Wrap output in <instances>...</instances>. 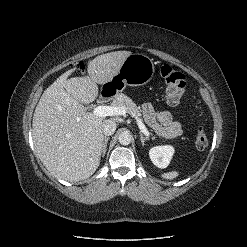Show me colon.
Returning a JSON list of instances; mask_svg holds the SVG:
<instances>
[{
  "instance_id": "1",
  "label": "colon",
  "mask_w": 247,
  "mask_h": 247,
  "mask_svg": "<svg viewBox=\"0 0 247 247\" xmlns=\"http://www.w3.org/2000/svg\"><path fill=\"white\" fill-rule=\"evenodd\" d=\"M78 67L82 69L81 64ZM160 74L165 83L167 102L172 106H178L185 92V76L167 64L161 67ZM195 145L199 150L205 149L208 145V136L203 126L196 129Z\"/></svg>"
}]
</instances>
